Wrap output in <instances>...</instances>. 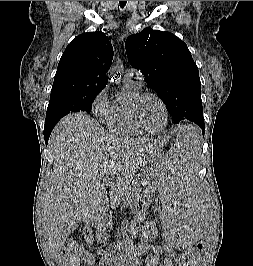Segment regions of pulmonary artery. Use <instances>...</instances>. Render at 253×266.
I'll use <instances>...</instances> for the list:
<instances>
[{"label": "pulmonary artery", "instance_id": "pulmonary-artery-1", "mask_svg": "<svg viewBox=\"0 0 253 266\" xmlns=\"http://www.w3.org/2000/svg\"><path fill=\"white\" fill-rule=\"evenodd\" d=\"M125 81L141 84L142 83V75L140 72L136 70H128L125 74Z\"/></svg>", "mask_w": 253, "mask_h": 266}]
</instances>
